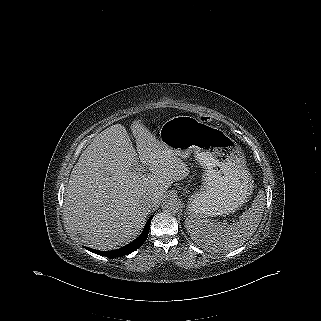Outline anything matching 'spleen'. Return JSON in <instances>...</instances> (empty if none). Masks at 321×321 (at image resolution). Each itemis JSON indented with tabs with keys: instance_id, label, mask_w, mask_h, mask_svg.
<instances>
[{
	"instance_id": "1",
	"label": "spleen",
	"mask_w": 321,
	"mask_h": 321,
	"mask_svg": "<svg viewBox=\"0 0 321 321\" xmlns=\"http://www.w3.org/2000/svg\"><path fill=\"white\" fill-rule=\"evenodd\" d=\"M265 209V196L260 192L254 199L251 208L245 211L239 220L230 226L211 222L209 219L190 215L185 221V227L200 247L223 253L241 246L257 230Z\"/></svg>"
}]
</instances>
